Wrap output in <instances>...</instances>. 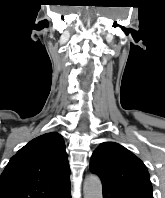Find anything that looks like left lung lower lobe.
<instances>
[{"instance_id": "0a47b994", "label": "left lung lower lobe", "mask_w": 165, "mask_h": 198, "mask_svg": "<svg viewBox=\"0 0 165 198\" xmlns=\"http://www.w3.org/2000/svg\"><path fill=\"white\" fill-rule=\"evenodd\" d=\"M102 191L103 198H129L128 196L105 185H103Z\"/></svg>"}]
</instances>
